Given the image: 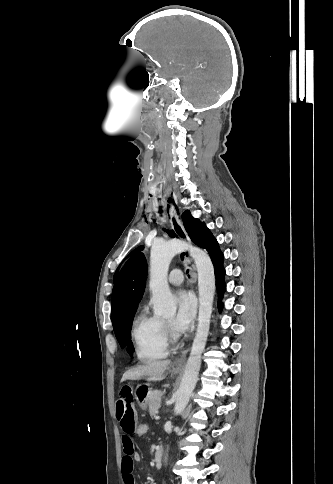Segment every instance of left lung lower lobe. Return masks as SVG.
I'll return each instance as SVG.
<instances>
[{"instance_id": "obj_1", "label": "left lung lower lobe", "mask_w": 333, "mask_h": 484, "mask_svg": "<svg viewBox=\"0 0 333 484\" xmlns=\"http://www.w3.org/2000/svg\"><path fill=\"white\" fill-rule=\"evenodd\" d=\"M199 247L205 248L212 259L215 275H216V287L219 294L218 305H219V309L221 310L222 305L220 301L226 289V285L224 282L225 269L223 268L224 257L219 249L218 242L213 237V235L211 234L208 228H206V231L201 241V245Z\"/></svg>"}]
</instances>
